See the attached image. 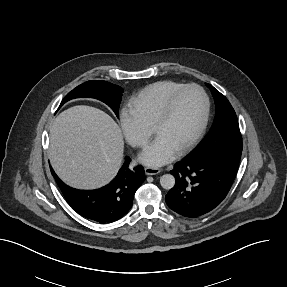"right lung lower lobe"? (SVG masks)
<instances>
[{"label": "right lung lower lobe", "mask_w": 287, "mask_h": 287, "mask_svg": "<svg viewBox=\"0 0 287 287\" xmlns=\"http://www.w3.org/2000/svg\"><path fill=\"white\" fill-rule=\"evenodd\" d=\"M130 158L108 185L96 190H78L64 184L51 169L68 204L81 216L100 224L122 218L132 207L136 190L145 180L143 167L129 168Z\"/></svg>", "instance_id": "1"}]
</instances>
